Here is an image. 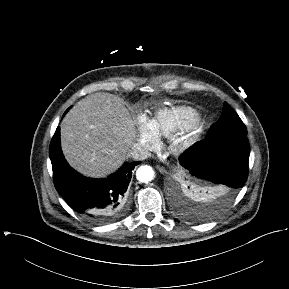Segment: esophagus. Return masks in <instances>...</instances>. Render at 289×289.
I'll return each mask as SVG.
<instances>
[{"instance_id":"esophagus-1","label":"esophagus","mask_w":289,"mask_h":289,"mask_svg":"<svg viewBox=\"0 0 289 289\" xmlns=\"http://www.w3.org/2000/svg\"><path fill=\"white\" fill-rule=\"evenodd\" d=\"M156 168L159 170L160 173L165 174L167 173L166 169L163 166L157 165Z\"/></svg>"}]
</instances>
